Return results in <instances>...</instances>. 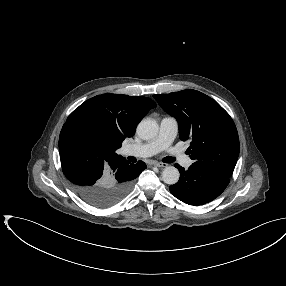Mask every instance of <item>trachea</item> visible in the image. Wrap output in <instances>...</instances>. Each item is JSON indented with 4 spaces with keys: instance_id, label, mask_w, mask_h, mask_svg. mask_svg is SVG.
I'll use <instances>...</instances> for the list:
<instances>
[{
    "instance_id": "3493384b",
    "label": "trachea",
    "mask_w": 286,
    "mask_h": 286,
    "mask_svg": "<svg viewBox=\"0 0 286 286\" xmlns=\"http://www.w3.org/2000/svg\"><path fill=\"white\" fill-rule=\"evenodd\" d=\"M174 161H175V158L171 157V156H167L163 159V162H165V163H172Z\"/></svg>"
}]
</instances>
